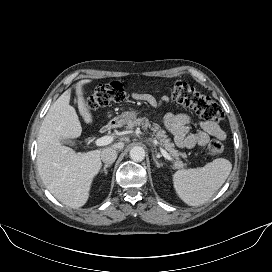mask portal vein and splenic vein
<instances>
[{"label":"portal vein and splenic vein","instance_id":"18ae733b","mask_svg":"<svg viewBox=\"0 0 272 272\" xmlns=\"http://www.w3.org/2000/svg\"><path fill=\"white\" fill-rule=\"evenodd\" d=\"M114 140V137L113 136H103L101 138H98L95 140V145L96 146H105V145H108L110 143H112V141ZM161 154L164 156V158H166L167 160H170L172 161V157L164 150V149H161Z\"/></svg>","mask_w":272,"mask_h":272}]
</instances>
